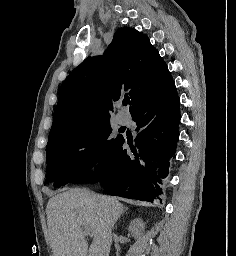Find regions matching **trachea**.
<instances>
[{
  "instance_id": "obj_1",
  "label": "trachea",
  "mask_w": 236,
  "mask_h": 256,
  "mask_svg": "<svg viewBox=\"0 0 236 256\" xmlns=\"http://www.w3.org/2000/svg\"><path fill=\"white\" fill-rule=\"evenodd\" d=\"M129 101H130L129 99H124L123 100V105L126 106L129 103Z\"/></svg>"
}]
</instances>
